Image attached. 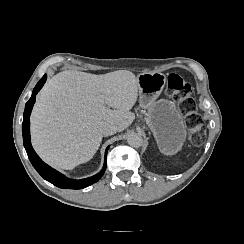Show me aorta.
Masks as SVG:
<instances>
[{"instance_id": "obj_1", "label": "aorta", "mask_w": 244, "mask_h": 244, "mask_svg": "<svg viewBox=\"0 0 244 244\" xmlns=\"http://www.w3.org/2000/svg\"><path fill=\"white\" fill-rule=\"evenodd\" d=\"M127 143L132 147L138 148L143 144L142 136L136 132H132L127 136Z\"/></svg>"}]
</instances>
